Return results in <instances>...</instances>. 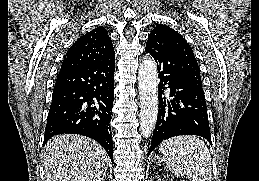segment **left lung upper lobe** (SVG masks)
I'll list each match as a JSON object with an SVG mask.
<instances>
[{
    "instance_id": "left-lung-upper-lobe-1",
    "label": "left lung upper lobe",
    "mask_w": 259,
    "mask_h": 181,
    "mask_svg": "<svg viewBox=\"0 0 259 181\" xmlns=\"http://www.w3.org/2000/svg\"><path fill=\"white\" fill-rule=\"evenodd\" d=\"M165 43H170L175 47V55L178 60L177 66L182 76L194 86L203 90L200 68L190 45L177 31L169 26L159 24L150 33L147 44L158 46Z\"/></svg>"
}]
</instances>
